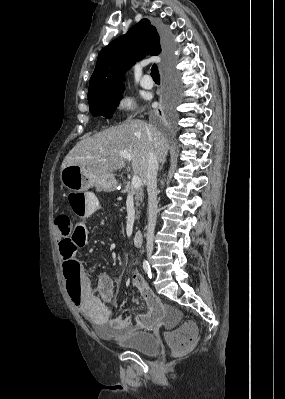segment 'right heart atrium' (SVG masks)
Returning <instances> with one entry per match:
<instances>
[{
	"mask_svg": "<svg viewBox=\"0 0 285 399\" xmlns=\"http://www.w3.org/2000/svg\"><path fill=\"white\" fill-rule=\"evenodd\" d=\"M117 108L121 113L132 117L135 113V101L133 97L128 94L120 96L117 100Z\"/></svg>",
	"mask_w": 285,
	"mask_h": 399,
	"instance_id": "right-heart-atrium-1",
	"label": "right heart atrium"
}]
</instances>
